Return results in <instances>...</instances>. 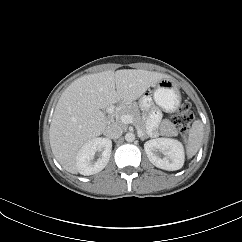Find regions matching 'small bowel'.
<instances>
[{
    "mask_svg": "<svg viewBox=\"0 0 242 242\" xmlns=\"http://www.w3.org/2000/svg\"><path fill=\"white\" fill-rule=\"evenodd\" d=\"M160 120V115L158 112H151L150 115H149V120H148V123H149V127L150 128H155L158 124Z\"/></svg>",
    "mask_w": 242,
    "mask_h": 242,
    "instance_id": "1",
    "label": "small bowel"
}]
</instances>
